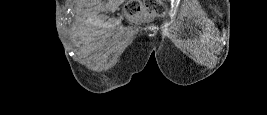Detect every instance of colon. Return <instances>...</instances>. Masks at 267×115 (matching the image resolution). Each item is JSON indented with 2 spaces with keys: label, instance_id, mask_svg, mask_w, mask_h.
<instances>
[{
  "label": "colon",
  "instance_id": "1",
  "mask_svg": "<svg viewBox=\"0 0 267 115\" xmlns=\"http://www.w3.org/2000/svg\"><path fill=\"white\" fill-rule=\"evenodd\" d=\"M139 8H140V3L139 2L131 1L126 5L125 11H126L127 15H133L137 11L140 10ZM152 8L159 15H163L165 13V6L162 3H158V4H155V5H152Z\"/></svg>",
  "mask_w": 267,
  "mask_h": 115
}]
</instances>
